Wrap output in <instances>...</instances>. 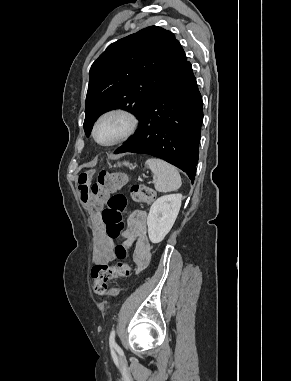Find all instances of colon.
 <instances>
[{
	"label": "colon",
	"mask_w": 291,
	"mask_h": 381,
	"mask_svg": "<svg viewBox=\"0 0 291 381\" xmlns=\"http://www.w3.org/2000/svg\"><path fill=\"white\" fill-rule=\"evenodd\" d=\"M127 184V179L118 174L101 171L97 181L88 185L80 179V192L84 203L94 206L107 201V207L101 213V222L106 234L112 238L120 237L123 228V212L127 206V197L117 192ZM154 196L153 190L147 185L133 184L130 188V197L139 203H149ZM117 261L113 265L98 263L93 266L91 276L94 280L93 290L97 295H116L117 288L108 287V282L116 277H129L132 272L131 265L127 262L128 250L119 244L115 250Z\"/></svg>",
	"instance_id": "1"
}]
</instances>
